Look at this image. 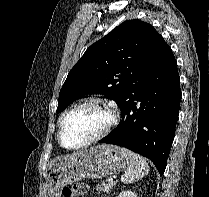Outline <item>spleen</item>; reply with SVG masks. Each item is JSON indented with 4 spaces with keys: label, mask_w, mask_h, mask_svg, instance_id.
<instances>
[{
    "label": "spleen",
    "mask_w": 209,
    "mask_h": 197,
    "mask_svg": "<svg viewBox=\"0 0 209 197\" xmlns=\"http://www.w3.org/2000/svg\"><path fill=\"white\" fill-rule=\"evenodd\" d=\"M122 154L128 164L127 170L121 176L123 183H133L149 173V166L143 157L125 148L122 149Z\"/></svg>",
    "instance_id": "spleen-1"
}]
</instances>
